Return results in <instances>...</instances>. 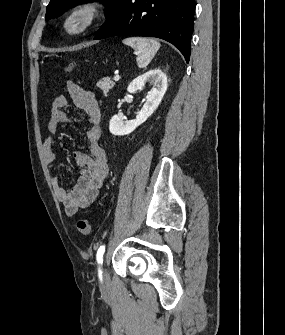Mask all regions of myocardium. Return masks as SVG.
Listing matches in <instances>:
<instances>
[{
    "instance_id": "1",
    "label": "myocardium",
    "mask_w": 285,
    "mask_h": 335,
    "mask_svg": "<svg viewBox=\"0 0 285 335\" xmlns=\"http://www.w3.org/2000/svg\"><path fill=\"white\" fill-rule=\"evenodd\" d=\"M102 15L99 6L88 3L76 8L70 18V27L73 32H81L89 28Z\"/></svg>"
}]
</instances>
